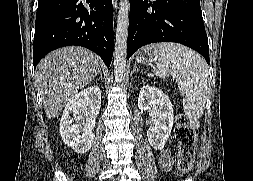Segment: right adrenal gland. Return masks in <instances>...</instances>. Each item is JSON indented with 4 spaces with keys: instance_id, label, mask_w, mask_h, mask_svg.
<instances>
[{
    "instance_id": "2a0ac1e0",
    "label": "right adrenal gland",
    "mask_w": 253,
    "mask_h": 181,
    "mask_svg": "<svg viewBox=\"0 0 253 181\" xmlns=\"http://www.w3.org/2000/svg\"><path fill=\"white\" fill-rule=\"evenodd\" d=\"M99 75H100V77L102 78V71H101V70L99 71Z\"/></svg>"
}]
</instances>
